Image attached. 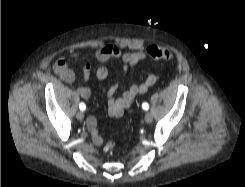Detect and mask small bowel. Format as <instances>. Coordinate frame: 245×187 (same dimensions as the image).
<instances>
[{
  "instance_id": "small-bowel-1",
  "label": "small bowel",
  "mask_w": 245,
  "mask_h": 187,
  "mask_svg": "<svg viewBox=\"0 0 245 187\" xmlns=\"http://www.w3.org/2000/svg\"><path fill=\"white\" fill-rule=\"evenodd\" d=\"M73 58L79 56L78 53L71 55ZM148 57L147 50L122 52L115 44H105L101 46L95 54V74L100 80H104L108 76V70L103 65L111 59H120L122 62V76L126 77L132 67L140 61ZM54 71L60 79L66 83L75 81V74L69 68L67 60L64 56L59 57L54 63ZM92 72V65L86 64L83 67V79H89ZM160 79L158 74H150L142 82H130L128 89L118 94L119 85L114 84L108 90V113L112 118H120L124 111L133 106L139 95L145 94L148 89L154 86ZM79 98L87 100L91 95V90L88 86H81L76 91ZM87 129L90 131L94 144L101 145L104 142L103 136L97 130V121L94 117H89L86 121Z\"/></svg>"
}]
</instances>
